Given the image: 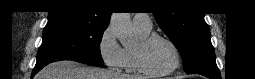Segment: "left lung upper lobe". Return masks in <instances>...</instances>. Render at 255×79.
<instances>
[{"label": "left lung upper lobe", "mask_w": 255, "mask_h": 79, "mask_svg": "<svg viewBox=\"0 0 255 79\" xmlns=\"http://www.w3.org/2000/svg\"><path fill=\"white\" fill-rule=\"evenodd\" d=\"M159 5L154 17L160 28L181 53L186 73L219 71L215 52L210 40V31L203 13L166 11L174 1L157 0Z\"/></svg>", "instance_id": "5c2ea615"}]
</instances>
